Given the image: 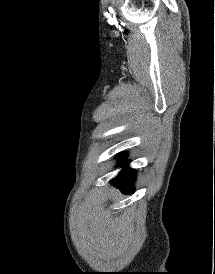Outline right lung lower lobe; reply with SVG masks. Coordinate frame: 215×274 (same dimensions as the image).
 I'll list each match as a JSON object with an SVG mask.
<instances>
[{
  "label": "right lung lower lobe",
  "mask_w": 215,
  "mask_h": 274,
  "mask_svg": "<svg viewBox=\"0 0 215 274\" xmlns=\"http://www.w3.org/2000/svg\"><path fill=\"white\" fill-rule=\"evenodd\" d=\"M125 160H123L120 164H123V166L126 165V163H123ZM135 179V171L130 168H125L123 171L112 180V184L119 187L124 194H131L134 192V188L132 185V182Z\"/></svg>",
  "instance_id": "1"
}]
</instances>
